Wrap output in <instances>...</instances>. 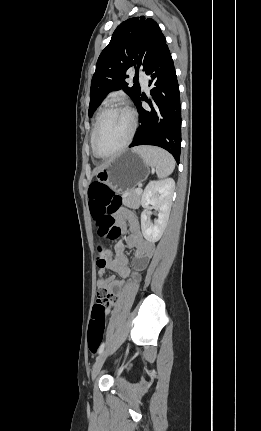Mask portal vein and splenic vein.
Returning a JSON list of instances; mask_svg holds the SVG:
<instances>
[{
	"label": "portal vein and splenic vein",
	"mask_w": 261,
	"mask_h": 431,
	"mask_svg": "<svg viewBox=\"0 0 261 431\" xmlns=\"http://www.w3.org/2000/svg\"><path fill=\"white\" fill-rule=\"evenodd\" d=\"M136 191H137V193H141V192H142L141 186H139V187L136 189Z\"/></svg>",
	"instance_id": "portal-vein-and-splenic-vein-1"
}]
</instances>
